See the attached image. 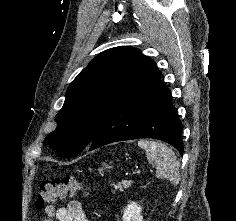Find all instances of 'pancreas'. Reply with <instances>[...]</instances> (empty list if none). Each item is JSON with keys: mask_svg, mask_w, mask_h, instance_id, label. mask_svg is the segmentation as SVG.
<instances>
[{"mask_svg": "<svg viewBox=\"0 0 236 221\" xmlns=\"http://www.w3.org/2000/svg\"><path fill=\"white\" fill-rule=\"evenodd\" d=\"M117 189H119L120 191H123V186L121 184H119L118 186H116ZM115 192V191H113Z\"/></svg>", "mask_w": 236, "mask_h": 221, "instance_id": "obj_1", "label": "pancreas"}]
</instances>
